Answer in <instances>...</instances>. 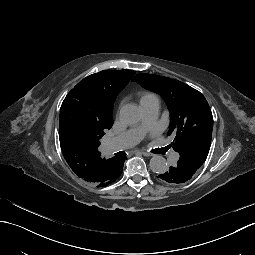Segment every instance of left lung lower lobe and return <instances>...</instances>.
I'll use <instances>...</instances> for the list:
<instances>
[{
  "mask_svg": "<svg viewBox=\"0 0 255 255\" xmlns=\"http://www.w3.org/2000/svg\"><path fill=\"white\" fill-rule=\"evenodd\" d=\"M167 173L163 172L159 175V178L166 184H175L176 182L184 184L187 180H191V173L184 170L180 164H174V166H167Z\"/></svg>",
  "mask_w": 255,
  "mask_h": 255,
  "instance_id": "left-lung-lower-lobe-1",
  "label": "left lung lower lobe"
}]
</instances>
